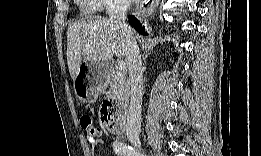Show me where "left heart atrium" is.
<instances>
[{
  "instance_id": "left-heart-atrium-1",
  "label": "left heart atrium",
  "mask_w": 261,
  "mask_h": 156,
  "mask_svg": "<svg viewBox=\"0 0 261 156\" xmlns=\"http://www.w3.org/2000/svg\"><path fill=\"white\" fill-rule=\"evenodd\" d=\"M138 4H139L140 6H142L141 2H138Z\"/></svg>"
}]
</instances>
